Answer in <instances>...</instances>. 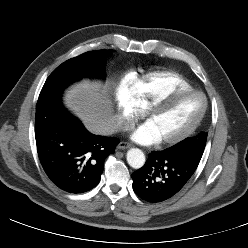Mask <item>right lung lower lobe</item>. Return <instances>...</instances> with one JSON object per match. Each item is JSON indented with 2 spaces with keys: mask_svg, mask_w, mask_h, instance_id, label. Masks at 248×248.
Listing matches in <instances>:
<instances>
[{
  "mask_svg": "<svg viewBox=\"0 0 248 248\" xmlns=\"http://www.w3.org/2000/svg\"><path fill=\"white\" fill-rule=\"evenodd\" d=\"M35 138L41 165L50 180L69 193L91 190L117 138L94 135L62 105L61 97L38 99Z\"/></svg>",
  "mask_w": 248,
  "mask_h": 248,
  "instance_id": "obj_1",
  "label": "right lung lower lobe"
}]
</instances>
